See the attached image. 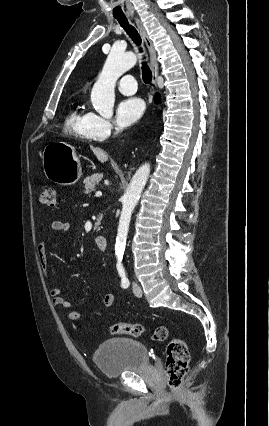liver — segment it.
<instances>
[{
	"label": "liver",
	"mask_w": 269,
	"mask_h": 426,
	"mask_svg": "<svg viewBox=\"0 0 269 426\" xmlns=\"http://www.w3.org/2000/svg\"><path fill=\"white\" fill-rule=\"evenodd\" d=\"M90 148L101 163H104L108 160V155L103 149L99 147H93V146H91Z\"/></svg>",
	"instance_id": "obj_1"
}]
</instances>
